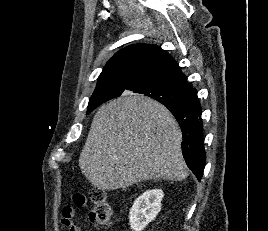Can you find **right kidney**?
Segmentation results:
<instances>
[{"label": "right kidney", "instance_id": "obj_1", "mask_svg": "<svg viewBox=\"0 0 268 231\" xmlns=\"http://www.w3.org/2000/svg\"><path fill=\"white\" fill-rule=\"evenodd\" d=\"M164 193L160 189L147 190L135 201L129 212V223L133 231H142L161 211Z\"/></svg>", "mask_w": 268, "mask_h": 231}]
</instances>
